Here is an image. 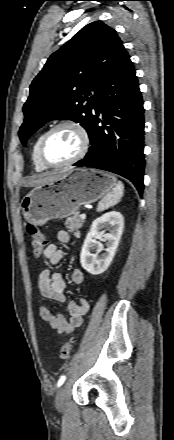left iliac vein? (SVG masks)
Masks as SVG:
<instances>
[{
	"mask_svg": "<svg viewBox=\"0 0 174 440\" xmlns=\"http://www.w3.org/2000/svg\"><path fill=\"white\" fill-rule=\"evenodd\" d=\"M66 392H67V385H63L57 390L55 396V407L58 411H63L65 408Z\"/></svg>",
	"mask_w": 174,
	"mask_h": 440,
	"instance_id": "obj_1",
	"label": "left iliac vein"
}]
</instances>
